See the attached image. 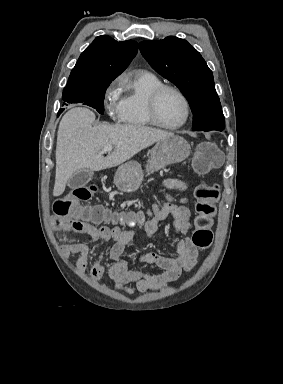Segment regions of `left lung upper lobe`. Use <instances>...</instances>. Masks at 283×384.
Returning <instances> with one entry per match:
<instances>
[{
    "mask_svg": "<svg viewBox=\"0 0 283 384\" xmlns=\"http://www.w3.org/2000/svg\"><path fill=\"white\" fill-rule=\"evenodd\" d=\"M140 51L151 67L174 83L187 98L194 131L224 130L225 119L212 71L186 40L174 36L145 40Z\"/></svg>",
    "mask_w": 283,
    "mask_h": 384,
    "instance_id": "5c2ea615",
    "label": "left lung upper lobe"
}]
</instances>
